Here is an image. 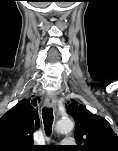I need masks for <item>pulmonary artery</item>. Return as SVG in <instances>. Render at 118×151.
Masks as SVG:
<instances>
[{
  "label": "pulmonary artery",
  "mask_w": 118,
  "mask_h": 151,
  "mask_svg": "<svg viewBox=\"0 0 118 151\" xmlns=\"http://www.w3.org/2000/svg\"><path fill=\"white\" fill-rule=\"evenodd\" d=\"M74 141H73V139L72 138H65L64 140H63V144H72Z\"/></svg>",
  "instance_id": "1"
}]
</instances>
